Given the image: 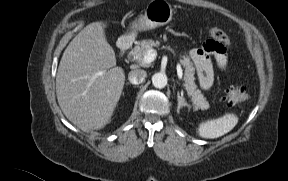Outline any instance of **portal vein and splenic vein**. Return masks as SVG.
I'll return each mask as SVG.
<instances>
[{"label":"portal vein and splenic vein","mask_w":288,"mask_h":181,"mask_svg":"<svg viewBox=\"0 0 288 181\" xmlns=\"http://www.w3.org/2000/svg\"><path fill=\"white\" fill-rule=\"evenodd\" d=\"M156 56H157V51L154 50V49H151L145 54V56L143 57L142 62L144 64H149V63H151V62H153L155 60ZM176 68H177L178 78L182 79L183 73H182L181 65L179 63H177Z\"/></svg>","instance_id":"18ae733b"}]
</instances>
